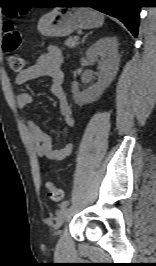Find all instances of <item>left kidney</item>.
<instances>
[{
  "label": "left kidney",
  "instance_id": "obj_1",
  "mask_svg": "<svg viewBox=\"0 0 156 266\" xmlns=\"http://www.w3.org/2000/svg\"><path fill=\"white\" fill-rule=\"evenodd\" d=\"M118 40L116 37H102L86 51V57L91 62H98L99 78L96 84L80 92L78 83H72V93L75 103L84 105L96 101L111 84L119 67ZM100 58V59H99Z\"/></svg>",
  "mask_w": 156,
  "mask_h": 266
}]
</instances>
